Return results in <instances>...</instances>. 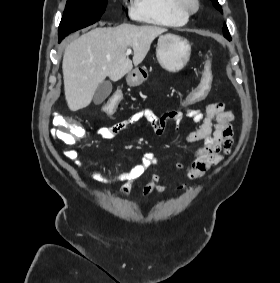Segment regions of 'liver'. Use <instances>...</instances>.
<instances>
[{
	"label": "liver",
	"instance_id": "liver-1",
	"mask_svg": "<svg viewBox=\"0 0 280 283\" xmlns=\"http://www.w3.org/2000/svg\"><path fill=\"white\" fill-rule=\"evenodd\" d=\"M167 29L122 24L95 28L71 42L64 51L62 70L65 98L71 111L87 107L106 77L116 82L138 66L151 43ZM132 47V60L126 50Z\"/></svg>",
	"mask_w": 280,
	"mask_h": 283
}]
</instances>
